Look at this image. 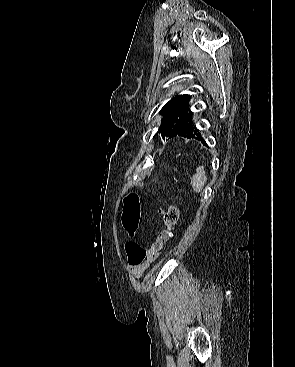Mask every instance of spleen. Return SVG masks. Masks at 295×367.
<instances>
[{"instance_id": "3e777b00", "label": "spleen", "mask_w": 295, "mask_h": 367, "mask_svg": "<svg viewBox=\"0 0 295 367\" xmlns=\"http://www.w3.org/2000/svg\"><path fill=\"white\" fill-rule=\"evenodd\" d=\"M207 181L203 166L196 169V174L191 178V185L195 192H200Z\"/></svg>"}]
</instances>
